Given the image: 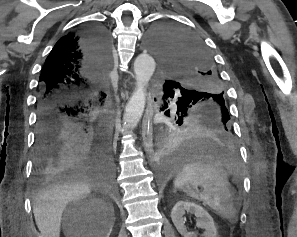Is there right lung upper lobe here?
I'll list each match as a JSON object with an SVG mask.
<instances>
[{"mask_svg":"<svg viewBox=\"0 0 297 237\" xmlns=\"http://www.w3.org/2000/svg\"><path fill=\"white\" fill-rule=\"evenodd\" d=\"M84 28L62 37L50 52L40 75L39 101L78 102L101 89L107 69L92 67L83 45Z\"/></svg>","mask_w":297,"mask_h":237,"instance_id":"right-lung-upper-lobe-1","label":"right lung upper lobe"}]
</instances>
